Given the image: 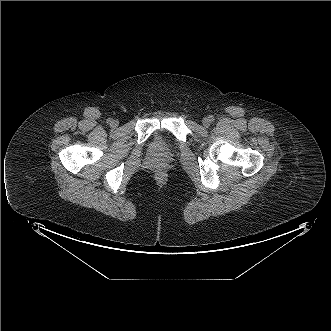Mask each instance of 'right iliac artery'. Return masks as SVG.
Returning a JSON list of instances; mask_svg holds the SVG:
<instances>
[{"instance_id": "right-iliac-artery-1", "label": "right iliac artery", "mask_w": 331, "mask_h": 331, "mask_svg": "<svg viewBox=\"0 0 331 331\" xmlns=\"http://www.w3.org/2000/svg\"><path fill=\"white\" fill-rule=\"evenodd\" d=\"M112 121H113V120H112L111 118H109V119L107 120V123L111 124Z\"/></svg>"}]
</instances>
